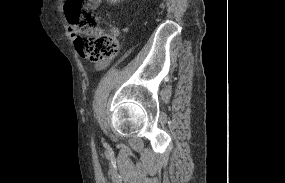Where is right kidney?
<instances>
[{"instance_id": "right-kidney-1", "label": "right kidney", "mask_w": 285, "mask_h": 183, "mask_svg": "<svg viewBox=\"0 0 285 183\" xmlns=\"http://www.w3.org/2000/svg\"><path fill=\"white\" fill-rule=\"evenodd\" d=\"M107 1H109L111 4H115L117 2H120L121 0H107Z\"/></svg>"}]
</instances>
